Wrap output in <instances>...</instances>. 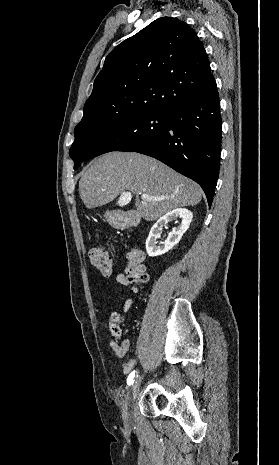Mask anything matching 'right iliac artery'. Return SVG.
Returning <instances> with one entry per match:
<instances>
[{
    "instance_id": "82829eb1",
    "label": "right iliac artery",
    "mask_w": 279,
    "mask_h": 465,
    "mask_svg": "<svg viewBox=\"0 0 279 465\" xmlns=\"http://www.w3.org/2000/svg\"><path fill=\"white\" fill-rule=\"evenodd\" d=\"M135 371L131 372L127 378V384L131 385L134 382Z\"/></svg>"
}]
</instances>
